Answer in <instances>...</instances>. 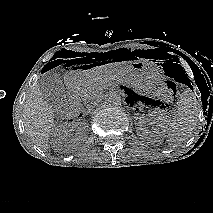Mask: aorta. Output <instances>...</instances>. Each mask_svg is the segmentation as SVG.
I'll return each mask as SVG.
<instances>
[{
  "mask_svg": "<svg viewBox=\"0 0 213 213\" xmlns=\"http://www.w3.org/2000/svg\"><path fill=\"white\" fill-rule=\"evenodd\" d=\"M107 103L113 107H120L122 105V98L119 94L113 93L108 98Z\"/></svg>",
  "mask_w": 213,
  "mask_h": 213,
  "instance_id": "obj_1",
  "label": "aorta"
}]
</instances>
